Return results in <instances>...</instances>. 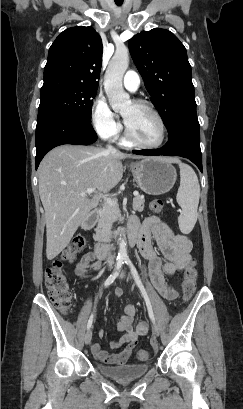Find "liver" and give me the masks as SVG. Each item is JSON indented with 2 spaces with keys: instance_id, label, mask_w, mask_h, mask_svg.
<instances>
[{
  "instance_id": "1",
  "label": "liver",
  "mask_w": 243,
  "mask_h": 409,
  "mask_svg": "<svg viewBox=\"0 0 243 409\" xmlns=\"http://www.w3.org/2000/svg\"><path fill=\"white\" fill-rule=\"evenodd\" d=\"M142 156L95 146L62 145L51 150L38 168V187L45 210L46 256L54 259L69 244L78 227L122 179V159ZM171 161V160H170ZM94 188L92 198L78 194Z\"/></svg>"
}]
</instances>
